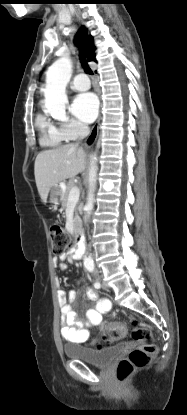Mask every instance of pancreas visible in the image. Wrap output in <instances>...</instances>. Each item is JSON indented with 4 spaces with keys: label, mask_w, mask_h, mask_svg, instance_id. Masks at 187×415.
Here are the masks:
<instances>
[{
    "label": "pancreas",
    "mask_w": 187,
    "mask_h": 415,
    "mask_svg": "<svg viewBox=\"0 0 187 415\" xmlns=\"http://www.w3.org/2000/svg\"><path fill=\"white\" fill-rule=\"evenodd\" d=\"M73 187H74V185L70 181V182L67 183L66 188H65V190L63 192V196H62V207L64 209H66L67 206H68L69 194H70V191L72 190ZM78 221H79L78 212L75 210V218H74V224H75V226H77Z\"/></svg>",
    "instance_id": "obj_1"
}]
</instances>
